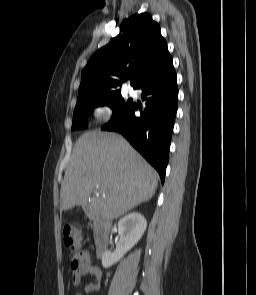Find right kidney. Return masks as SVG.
<instances>
[{
	"mask_svg": "<svg viewBox=\"0 0 256 295\" xmlns=\"http://www.w3.org/2000/svg\"><path fill=\"white\" fill-rule=\"evenodd\" d=\"M147 228L145 217L138 212L130 213L118 222L119 242L114 252L105 251L102 254V266L109 268L117 263L141 239Z\"/></svg>",
	"mask_w": 256,
	"mask_h": 295,
	"instance_id": "obj_1",
	"label": "right kidney"
}]
</instances>
